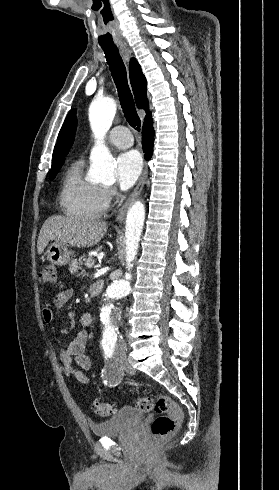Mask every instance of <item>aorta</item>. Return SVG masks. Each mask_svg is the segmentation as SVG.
Returning a JSON list of instances; mask_svg holds the SVG:
<instances>
[{
    "instance_id": "762f6f07",
    "label": "aorta",
    "mask_w": 279,
    "mask_h": 490,
    "mask_svg": "<svg viewBox=\"0 0 279 490\" xmlns=\"http://www.w3.org/2000/svg\"><path fill=\"white\" fill-rule=\"evenodd\" d=\"M116 113V104L113 99L104 98L97 100L90 105L89 120L91 129L96 139L90 155V177L95 182L106 184L114 183L115 160L104 144V138L112 125ZM145 206L142 202H135L129 208L125 224V244H126V265L128 271L133 267L139 241L144 225ZM130 277V273L125 274ZM131 290L130 282L121 279L111 283L103 295L100 304V332L101 342L105 344H119L122 337L118 332L117 321L120 316L116 314L113 301L129 294Z\"/></svg>"
}]
</instances>
